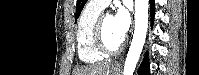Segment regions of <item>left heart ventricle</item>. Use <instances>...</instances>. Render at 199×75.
<instances>
[{
    "label": "left heart ventricle",
    "instance_id": "left-heart-ventricle-1",
    "mask_svg": "<svg viewBox=\"0 0 199 75\" xmlns=\"http://www.w3.org/2000/svg\"><path fill=\"white\" fill-rule=\"evenodd\" d=\"M103 37L109 47H116L122 40L113 28V17L105 15L103 19Z\"/></svg>",
    "mask_w": 199,
    "mask_h": 75
}]
</instances>
